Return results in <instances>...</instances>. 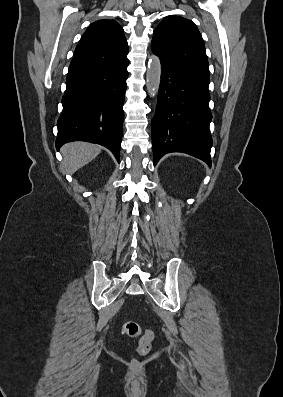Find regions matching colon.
Here are the masks:
<instances>
[{
	"instance_id": "1",
	"label": "colon",
	"mask_w": 283,
	"mask_h": 397,
	"mask_svg": "<svg viewBox=\"0 0 283 397\" xmlns=\"http://www.w3.org/2000/svg\"><path fill=\"white\" fill-rule=\"evenodd\" d=\"M123 331L130 337H140L138 345L139 354H146L150 350L153 335L149 330L143 331L137 322L127 321L123 325Z\"/></svg>"
}]
</instances>
